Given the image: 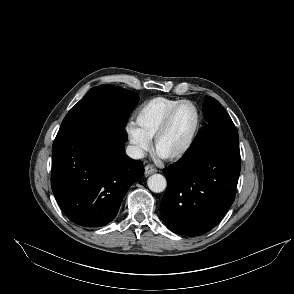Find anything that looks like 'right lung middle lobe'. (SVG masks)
<instances>
[{
  "label": "right lung middle lobe",
  "mask_w": 294,
  "mask_h": 294,
  "mask_svg": "<svg viewBox=\"0 0 294 294\" xmlns=\"http://www.w3.org/2000/svg\"><path fill=\"white\" fill-rule=\"evenodd\" d=\"M113 94L114 101L101 104L92 98L90 91L68 112L57 136L88 128L111 125L125 127L130 112L138 103L139 96L131 91L112 85H101Z\"/></svg>",
  "instance_id": "dd1d6c3e"
}]
</instances>
